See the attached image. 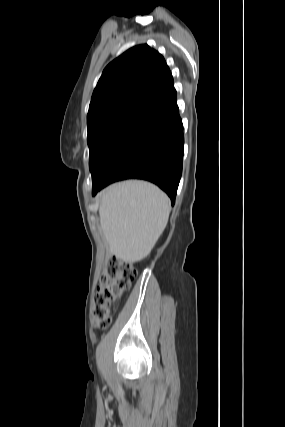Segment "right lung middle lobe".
<instances>
[{
    "instance_id": "1",
    "label": "right lung middle lobe",
    "mask_w": 285,
    "mask_h": 427,
    "mask_svg": "<svg viewBox=\"0 0 285 427\" xmlns=\"http://www.w3.org/2000/svg\"><path fill=\"white\" fill-rule=\"evenodd\" d=\"M142 110L126 109L88 123L89 167L92 178L101 170Z\"/></svg>"
}]
</instances>
